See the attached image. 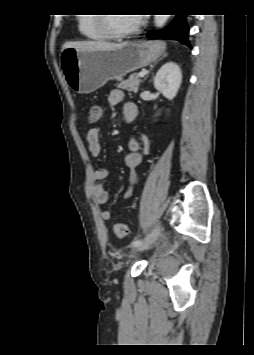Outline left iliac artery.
Instances as JSON below:
<instances>
[{
	"label": "left iliac artery",
	"mask_w": 254,
	"mask_h": 355,
	"mask_svg": "<svg viewBox=\"0 0 254 355\" xmlns=\"http://www.w3.org/2000/svg\"><path fill=\"white\" fill-rule=\"evenodd\" d=\"M143 242H144V241H142V240H134V241L131 243V245H132L133 247H137V246L141 245Z\"/></svg>",
	"instance_id": "obj_1"
}]
</instances>
